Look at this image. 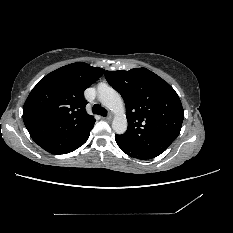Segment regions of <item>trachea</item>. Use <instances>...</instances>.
Here are the masks:
<instances>
[{"label": "trachea", "mask_w": 233, "mask_h": 233, "mask_svg": "<svg viewBox=\"0 0 233 233\" xmlns=\"http://www.w3.org/2000/svg\"><path fill=\"white\" fill-rule=\"evenodd\" d=\"M92 112L94 114H99L101 116H107V110L103 107H101L99 104H94L93 108H92Z\"/></svg>", "instance_id": "3493384b"}]
</instances>
